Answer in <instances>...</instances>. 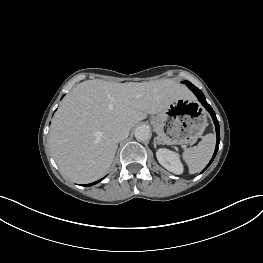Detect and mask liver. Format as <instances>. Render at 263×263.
<instances>
[{
	"label": "liver",
	"instance_id": "obj_1",
	"mask_svg": "<svg viewBox=\"0 0 263 263\" xmlns=\"http://www.w3.org/2000/svg\"><path fill=\"white\" fill-rule=\"evenodd\" d=\"M183 97H189L187 88L169 79L81 82L62 101L50 129V148L60 171L76 183L99 179L118 147L112 138L114 127L130 130L148 114H159Z\"/></svg>",
	"mask_w": 263,
	"mask_h": 263
}]
</instances>
